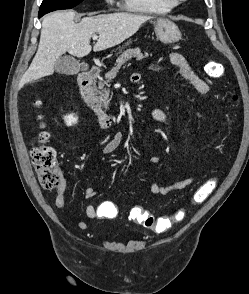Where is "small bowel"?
Segmentation results:
<instances>
[{"instance_id":"obj_1","label":"small bowel","mask_w":249,"mask_h":294,"mask_svg":"<svg viewBox=\"0 0 249 294\" xmlns=\"http://www.w3.org/2000/svg\"><path fill=\"white\" fill-rule=\"evenodd\" d=\"M168 58L171 63L177 68L178 73L180 76L187 81L190 85H192L200 94L206 95L209 92V85L200 78L196 72L192 69L191 65L188 61L178 52L171 51L168 53ZM151 68L155 71H159L162 69V65L159 63H154L151 65ZM141 76L138 73H134L131 77L132 82H138ZM151 116L154 121L157 123L166 125L168 123V118L166 114L159 108H155L151 111ZM100 128H105L102 122L99 121L98 123ZM123 142V134L121 132H116L113 137L101 147V152L103 154H112L114 153L122 144ZM161 161L158 157H152L150 159V165L154 168L160 165ZM195 181L194 177H188L183 180L170 182L165 185H161L158 182H153L151 184V192L154 195H167L169 193L180 191L191 185ZM67 183L65 181L64 185L58 188L57 194L55 197V205L59 209H64L66 207V198L65 194L67 191ZM97 193V189L93 186H88L85 189L84 196L86 199H92L95 197ZM113 209L117 210L115 205L110 201H101L99 204H88L85 207L86 216L89 219H112L115 216L110 214V210ZM72 222L81 230L87 229L88 225L83 220H72Z\"/></svg>"}]
</instances>
